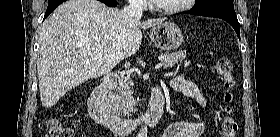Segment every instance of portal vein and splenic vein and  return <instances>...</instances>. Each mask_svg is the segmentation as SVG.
I'll return each instance as SVG.
<instances>
[{
    "mask_svg": "<svg viewBox=\"0 0 280 137\" xmlns=\"http://www.w3.org/2000/svg\"><path fill=\"white\" fill-rule=\"evenodd\" d=\"M97 57H102V53H97ZM162 63H159L155 66V69H160L162 67Z\"/></svg>",
    "mask_w": 280,
    "mask_h": 137,
    "instance_id": "1",
    "label": "portal vein and splenic vein"
}]
</instances>
